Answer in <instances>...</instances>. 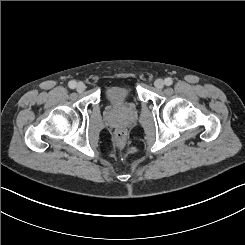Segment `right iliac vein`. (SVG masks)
<instances>
[{"mask_svg": "<svg viewBox=\"0 0 245 245\" xmlns=\"http://www.w3.org/2000/svg\"><path fill=\"white\" fill-rule=\"evenodd\" d=\"M86 89V86L84 83L82 82H79L77 85H76V90L78 92H83L84 90Z\"/></svg>", "mask_w": 245, "mask_h": 245, "instance_id": "1", "label": "right iliac vein"}]
</instances>
